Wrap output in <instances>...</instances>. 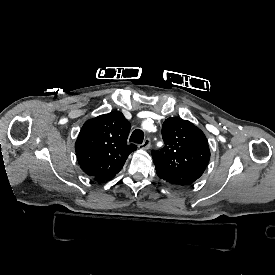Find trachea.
<instances>
[{"label":"trachea","instance_id":"trachea-1","mask_svg":"<svg viewBox=\"0 0 275 275\" xmlns=\"http://www.w3.org/2000/svg\"><path fill=\"white\" fill-rule=\"evenodd\" d=\"M144 139V133L141 129H135L130 136V142L142 144Z\"/></svg>","mask_w":275,"mask_h":275}]
</instances>
